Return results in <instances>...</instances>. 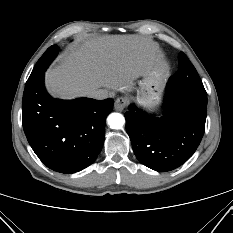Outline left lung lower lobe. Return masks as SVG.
<instances>
[{"label": "left lung lower lobe", "mask_w": 233, "mask_h": 233, "mask_svg": "<svg viewBox=\"0 0 233 233\" xmlns=\"http://www.w3.org/2000/svg\"><path fill=\"white\" fill-rule=\"evenodd\" d=\"M166 93L162 118L133 107L125 113L126 131L137 159L159 172L178 168L194 154L204 134L207 113L206 91L169 81Z\"/></svg>", "instance_id": "0a47b994"}]
</instances>
